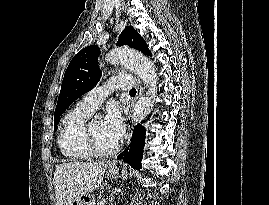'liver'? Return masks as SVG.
<instances>
[{
    "label": "liver",
    "instance_id": "liver-1",
    "mask_svg": "<svg viewBox=\"0 0 269 205\" xmlns=\"http://www.w3.org/2000/svg\"><path fill=\"white\" fill-rule=\"evenodd\" d=\"M104 162H70L56 166L53 184L56 205H72L80 195L93 192L104 178Z\"/></svg>",
    "mask_w": 269,
    "mask_h": 205
}]
</instances>
